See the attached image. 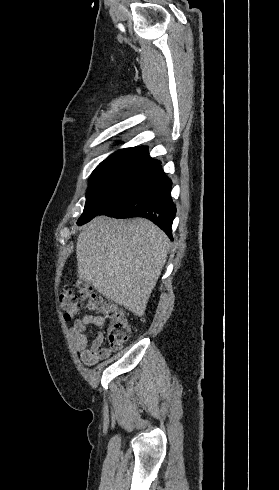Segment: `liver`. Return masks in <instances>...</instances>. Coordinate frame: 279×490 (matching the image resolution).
Here are the masks:
<instances>
[{"mask_svg":"<svg viewBox=\"0 0 279 490\" xmlns=\"http://www.w3.org/2000/svg\"><path fill=\"white\" fill-rule=\"evenodd\" d=\"M168 242L145 218L98 216L77 238V274L99 294L142 318L166 264Z\"/></svg>","mask_w":279,"mask_h":490,"instance_id":"6515ba94","label":"liver"}]
</instances>
